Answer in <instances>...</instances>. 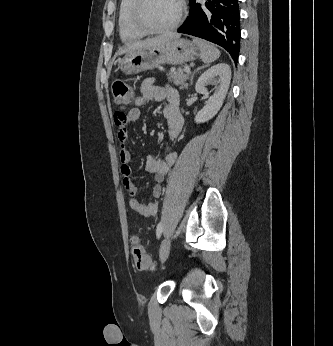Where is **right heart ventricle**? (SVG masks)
<instances>
[{"mask_svg":"<svg viewBox=\"0 0 333 346\" xmlns=\"http://www.w3.org/2000/svg\"><path fill=\"white\" fill-rule=\"evenodd\" d=\"M136 0H120L117 28L119 36L124 43H133L140 40L144 33L137 29L132 21V12Z\"/></svg>","mask_w":333,"mask_h":346,"instance_id":"1","label":"right heart ventricle"}]
</instances>
